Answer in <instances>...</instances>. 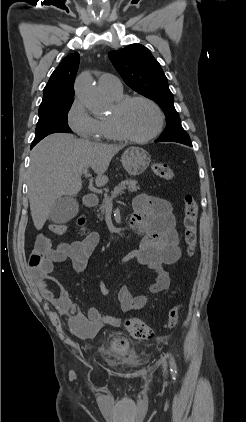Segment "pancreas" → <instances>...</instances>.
<instances>
[{"label":"pancreas","mask_w":246,"mask_h":422,"mask_svg":"<svg viewBox=\"0 0 246 422\" xmlns=\"http://www.w3.org/2000/svg\"><path fill=\"white\" fill-rule=\"evenodd\" d=\"M125 189H128L130 192H137L140 189L136 180L126 179L118 184L110 195L105 194L104 198L98 208V217L102 220L103 215L105 214L106 208L109 205V202H112L117 196H119Z\"/></svg>","instance_id":"cf45deb5"}]
</instances>
